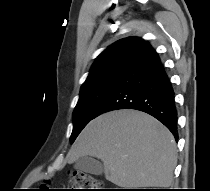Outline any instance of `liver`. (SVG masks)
Listing matches in <instances>:
<instances>
[{"instance_id":"obj_1","label":"liver","mask_w":210,"mask_h":191,"mask_svg":"<svg viewBox=\"0 0 210 191\" xmlns=\"http://www.w3.org/2000/svg\"><path fill=\"white\" fill-rule=\"evenodd\" d=\"M83 156L103 161L105 177L119 187H169L177 164L171 132L152 116L130 109L93 119L68 153L69 164Z\"/></svg>"}]
</instances>
